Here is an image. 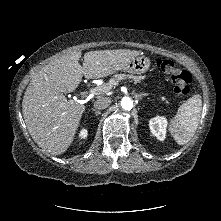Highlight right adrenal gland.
<instances>
[{"label": "right adrenal gland", "mask_w": 221, "mask_h": 221, "mask_svg": "<svg viewBox=\"0 0 221 221\" xmlns=\"http://www.w3.org/2000/svg\"><path fill=\"white\" fill-rule=\"evenodd\" d=\"M91 110L95 112V115H99L101 113V111H98L95 108H92Z\"/></svg>", "instance_id": "right-adrenal-gland-1"}]
</instances>
